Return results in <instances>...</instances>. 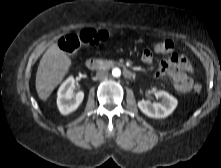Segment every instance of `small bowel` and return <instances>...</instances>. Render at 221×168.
<instances>
[{
  "instance_id": "small-bowel-1",
  "label": "small bowel",
  "mask_w": 221,
  "mask_h": 168,
  "mask_svg": "<svg viewBox=\"0 0 221 168\" xmlns=\"http://www.w3.org/2000/svg\"><path fill=\"white\" fill-rule=\"evenodd\" d=\"M170 53L173 51V43ZM178 53H171L168 55L167 60L162 61L156 76L168 75L174 83V88L180 93H187L193 87V81L188 76L187 71L190 69V65L187 59ZM142 61L146 64H151L153 61V54L150 49H146L142 53ZM186 63V64H185Z\"/></svg>"
}]
</instances>
